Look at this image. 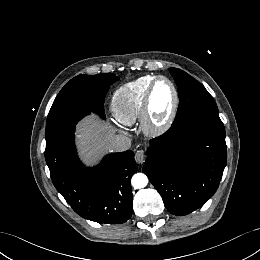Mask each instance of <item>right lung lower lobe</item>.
<instances>
[{"mask_svg": "<svg viewBox=\"0 0 260 260\" xmlns=\"http://www.w3.org/2000/svg\"><path fill=\"white\" fill-rule=\"evenodd\" d=\"M74 131L75 126L70 127L46 147L54 186L81 217L106 224L126 222L132 215L130 180L138 169L134 153L109 154L97 167L88 169L78 159Z\"/></svg>", "mask_w": 260, "mask_h": 260, "instance_id": "obj_1", "label": "right lung lower lobe"}]
</instances>
